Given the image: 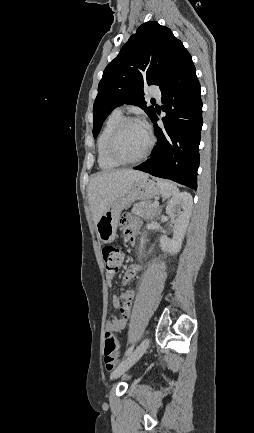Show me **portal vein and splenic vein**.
Masks as SVG:
<instances>
[{
  "label": "portal vein and splenic vein",
  "instance_id": "obj_1",
  "mask_svg": "<svg viewBox=\"0 0 254 433\" xmlns=\"http://www.w3.org/2000/svg\"><path fill=\"white\" fill-rule=\"evenodd\" d=\"M153 205L158 206L159 203H158L157 201H155V202L153 203Z\"/></svg>",
  "mask_w": 254,
  "mask_h": 433
}]
</instances>
